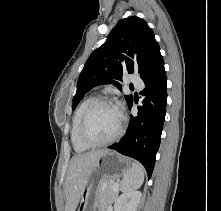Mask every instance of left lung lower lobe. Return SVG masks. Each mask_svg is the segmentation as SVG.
Here are the masks:
<instances>
[{
	"label": "left lung lower lobe",
	"instance_id": "0a47b994",
	"mask_svg": "<svg viewBox=\"0 0 221 211\" xmlns=\"http://www.w3.org/2000/svg\"><path fill=\"white\" fill-rule=\"evenodd\" d=\"M145 84L142 106L136 116L131 115L126 135L109 149L140 161L150 179L155 165L167 104V77L160 50L153 56L147 69L140 76ZM133 104H128L129 109Z\"/></svg>",
	"mask_w": 221,
	"mask_h": 211
}]
</instances>
